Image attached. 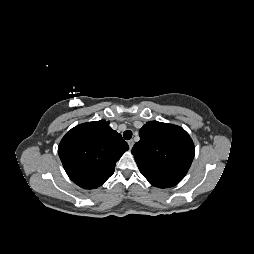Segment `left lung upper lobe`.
<instances>
[{
    "mask_svg": "<svg viewBox=\"0 0 254 254\" xmlns=\"http://www.w3.org/2000/svg\"><path fill=\"white\" fill-rule=\"evenodd\" d=\"M139 136L132 154L141 174L156 187L178 184L194 158L195 148L189 134L179 126L150 121L140 129Z\"/></svg>",
    "mask_w": 254,
    "mask_h": 254,
    "instance_id": "left-lung-upper-lobe-1",
    "label": "left lung upper lobe"
}]
</instances>
